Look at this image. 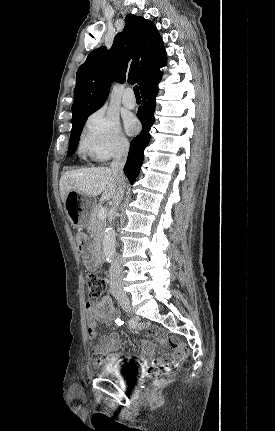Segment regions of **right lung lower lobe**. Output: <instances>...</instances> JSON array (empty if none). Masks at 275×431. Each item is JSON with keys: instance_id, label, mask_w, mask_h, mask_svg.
<instances>
[{"instance_id": "obj_1", "label": "right lung lower lobe", "mask_w": 275, "mask_h": 431, "mask_svg": "<svg viewBox=\"0 0 275 431\" xmlns=\"http://www.w3.org/2000/svg\"><path fill=\"white\" fill-rule=\"evenodd\" d=\"M156 81L145 91L141 93L143 98L142 106L138 109L137 116L142 123V132L133 139L130 145V150L127 158V162L124 167V173L128 177L131 184L136 180L139 174L142 162L143 152L150 141V128L154 123V110H155V98L158 93V83Z\"/></svg>"}]
</instances>
